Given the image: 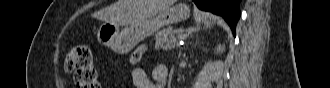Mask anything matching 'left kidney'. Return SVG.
I'll return each mask as SVG.
<instances>
[{"instance_id": "5707ae66", "label": "left kidney", "mask_w": 330, "mask_h": 88, "mask_svg": "<svg viewBox=\"0 0 330 88\" xmlns=\"http://www.w3.org/2000/svg\"><path fill=\"white\" fill-rule=\"evenodd\" d=\"M225 50V47L222 46V45H219L216 50H215V53L218 54V53H223V51Z\"/></svg>"}]
</instances>
